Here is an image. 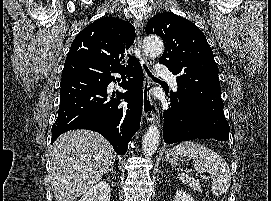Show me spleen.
Masks as SVG:
<instances>
[{
    "label": "spleen",
    "instance_id": "1",
    "mask_svg": "<svg viewBox=\"0 0 271 201\" xmlns=\"http://www.w3.org/2000/svg\"><path fill=\"white\" fill-rule=\"evenodd\" d=\"M172 150L176 156H188L189 160L192 159L197 172L211 176V192L214 196H221L228 191L231 184V172L228 164L219 154L194 141L182 142ZM175 160L171 159V162ZM179 179L192 188L196 183L187 173L179 174Z\"/></svg>",
    "mask_w": 271,
    "mask_h": 201
}]
</instances>
